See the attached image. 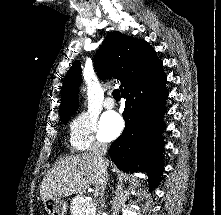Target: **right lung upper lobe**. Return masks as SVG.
I'll use <instances>...</instances> for the list:
<instances>
[{
	"label": "right lung upper lobe",
	"mask_w": 221,
	"mask_h": 215,
	"mask_svg": "<svg viewBox=\"0 0 221 215\" xmlns=\"http://www.w3.org/2000/svg\"><path fill=\"white\" fill-rule=\"evenodd\" d=\"M94 64L101 79L114 76L121 81V93L135 88L162 69V61L146 41L117 31L108 34L96 53ZM80 84V62L76 61L64 79L59 106L60 119L69 117L77 109Z\"/></svg>",
	"instance_id": "1"
}]
</instances>
